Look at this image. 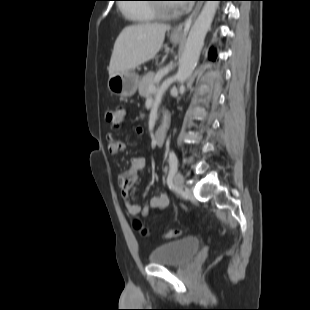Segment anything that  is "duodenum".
<instances>
[{"mask_svg": "<svg viewBox=\"0 0 310 310\" xmlns=\"http://www.w3.org/2000/svg\"><path fill=\"white\" fill-rule=\"evenodd\" d=\"M168 129L169 126L167 120L164 119L162 125L156 130L154 134V140L158 146H161L164 143Z\"/></svg>", "mask_w": 310, "mask_h": 310, "instance_id": "duodenum-1", "label": "duodenum"}]
</instances>
